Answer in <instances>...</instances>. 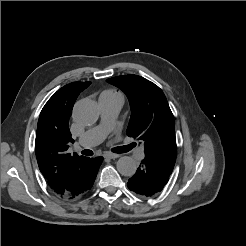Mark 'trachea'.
<instances>
[{
    "label": "trachea",
    "mask_w": 246,
    "mask_h": 246,
    "mask_svg": "<svg viewBox=\"0 0 246 246\" xmlns=\"http://www.w3.org/2000/svg\"><path fill=\"white\" fill-rule=\"evenodd\" d=\"M83 155H86V156H91L93 155V152L91 150H88V149H85L81 152ZM118 153V152H116Z\"/></svg>",
    "instance_id": "1"
}]
</instances>
